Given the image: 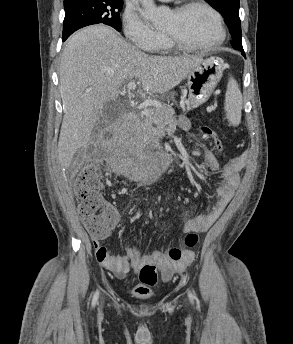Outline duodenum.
I'll return each mask as SVG.
<instances>
[{
    "instance_id": "1",
    "label": "duodenum",
    "mask_w": 293,
    "mask_h": 344,
    "mask_svg": "<svg viewBox=\"0 0 293 344\" xmlns=\"http://www.w3.org/2000/svg\"><path fill=\"white\" fill-rule=\"evenodd\" d=\"M130 116H131V114H128L126 117H125V119L126 120H129L130 119ZM162 159L164 160V161H166V165H173L174 164V162H175V157H174V155L173 154H171V153H165V154H162Z\"/></svg>"
}]
</instances>
